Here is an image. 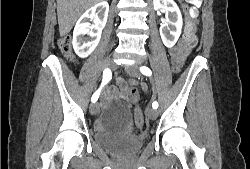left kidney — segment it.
<instances>
[{
    "label": "left kidney",
    "mask_w": 250,
    "mask_h": 169,
    "mask_svg": "<svg viewBox=\"0 0 250 169\" xmlns=\"http://www.w3.org/2000/svg\"><path fill=\"white\" fill-rule=\"evenodd\" d=\"M153 4L155 10L165 12L166 18L160 26V34L165 46L171 48L177 42L183 26L180 8L175 0H153Z\"/></svg>",
    "instance_id": "left-kidney-1"
}]
</instances>
